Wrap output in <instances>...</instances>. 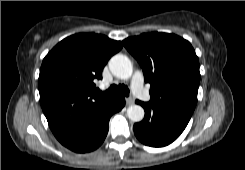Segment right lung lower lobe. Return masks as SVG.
Listing matches in <instances>:
<instances>
[{
  "instance_id": "right-lung-lower-lobe-1",
  "label": "right lung lower lobe",
  "mask_w": 245,
  "mask_h": 170,
  "mask_svg": "<svg viewBox=\"0 0 245 170\" xmlns=\"http://www.w3.org/2000/svg\"><path fill=\"white\" fill-rule=\"evenodd\" d=\"M125 105L121 95L101 103L70 135L60 143L74 152L84 153L97 149L109 130L110 117Z\"/></svg>"
}]
</instances>
